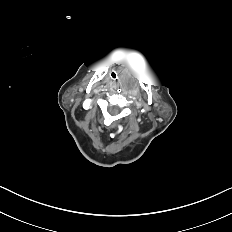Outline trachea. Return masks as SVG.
Listing matches in <instances>:
<instances>
[{
	"instance_id": "trachea-1",
	"label": "trachea",
	"mask_w": 232,
	"mask_h": 232,
	"mask_svg": "<svg viewBox=\"0 0 232 232\" xmlns=\"http://www.w3.org/2000/svg\"><path fill=\"white\" fill-rule=\"evenodd\" d=\"M109 78H110L112 81H116L117 78H118V75H117V73H116L115 71H111V72L109 73Z\"/></svg>"
}]
</instances>
